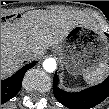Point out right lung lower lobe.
<instances>
[{"mask_svg":"<svg viewBox=\"0 0 109 109\" xmlns=\"http://www.w3.org/2000/svg\"><path fill=\"white\" fill-rule=\"evenodd\" d=\"M35 64L36 62L29 63L16 72L12 77L1 81V104L7 102L19 92L25 72Z\"/></svg>","mask_w":109,"mask_h":109,"instance_id":"obj_1","label":"right lung lower lobe"}]
</instances>
